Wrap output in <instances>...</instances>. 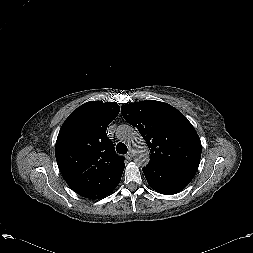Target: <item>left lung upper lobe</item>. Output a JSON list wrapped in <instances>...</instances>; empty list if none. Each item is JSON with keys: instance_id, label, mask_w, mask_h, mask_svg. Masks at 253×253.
<instances>
[{"instance_id": "obj_1", "label": "left lung upper lobe", "mask_w": 253, "mask_h": 253, "mask_svg": "<svg viewBox=\"0 0 253 253\" xmlns=\"http://www.w3.org/2000/svg\"><path fill=\"white\" fill-rule=\"evenodd\" d=\"M121 113L146 141L151 154L149 163L198 168L202 151L200 138L176 108L148 100L122 105Z\"/></svg>"}]
</instances>
